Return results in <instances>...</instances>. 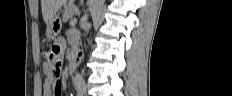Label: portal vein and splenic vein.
Segmentation results:
<instances>
[{"label": "portal vein and splenic vein", "mask_w": 232, "mask_h": 96, "mask_svg": "<svg viewBox=\"0 0 232 96\" xmlns=\"http://www.w3.org/2000/svg\"><path fill=\"white\" fill-rule=\"evenodd\" d=\"M75 23H77V19H76V18H74V19L71 20V22H70V24H75Z\"/></svg>", "instance_id": "18ae733b"}]
</instances>
